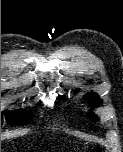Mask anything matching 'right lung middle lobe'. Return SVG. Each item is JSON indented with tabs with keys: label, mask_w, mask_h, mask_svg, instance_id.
Wrapping results in <instances>:
<instances>
[{
	"label": "right lung middle lobe",
	"mask_w": 123,
	"mask_h": 152,
	"mask_svg": "<svg viewBox=\"0 0 123 152\" xmlns=\"http://www.w3.org/2000/svg\"><path fill=\"white\" fill-rule=\"evenodd\" d=\"M3 114L6 115L7 121L10 124H20V125H25L29 121L33 119V114L24 110L18 111V112H13V113H6L4 112Z\"/></svg>",
	"instance_id": "obj_1"
}]
</instances>
